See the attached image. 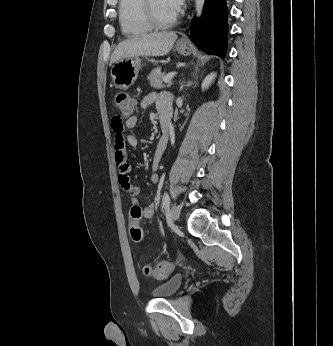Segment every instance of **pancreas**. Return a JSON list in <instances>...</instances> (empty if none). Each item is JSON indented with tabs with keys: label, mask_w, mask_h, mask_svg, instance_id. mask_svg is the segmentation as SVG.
I'll return each mask as SVG.
<instances>
[{
	"label": "pancreas",
	"mask_w": 333,
	"mask_h": 346,
	"mask_svg": "<svg viewBox=\"0 0 333 346\" xmlns=\"http://www.w3.org/2000/svg\"><path fill=\"white\" fill-rule=\"evenodd\" d=\"M164 77L165 75L161 72V68L157 67L151 71L147 79L149 80L151 87L160 89L165 87V85L163 84ZM171 84L172 83L169 82L167 86L169 87Z\"/></svg>",
	"instance_id": "1"
}]
</instances>
